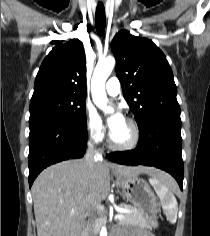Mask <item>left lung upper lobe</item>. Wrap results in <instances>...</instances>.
<instances>
[{
    "label": "left lung upper lobe",
    "instance_id": "5c2ea615",
    "mask_svg": "<svg viewBox=\"0 0 210 236\" xmlns=\"http://www.w3.org/2000/svg\"><path fill=\"white\" fill-rule=\"evenodd\" d=\"M111 49L124 98L138 127L153 116H180L171 67L151 40L122 30L113 38Z\"/></svg>",
    "mask_w": 210,
    "mask_h": 236
}]
</instances>
